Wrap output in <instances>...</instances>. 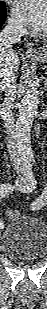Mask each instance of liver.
Masks as SVG:
<instances>
[{
  "label": "liver",
  "instance_id": "1",
  "mask_svg": "<svg viewBox=\"0 0 47 309\" xmlns=\"http://www.w3.org/2000/svg\"><path fill=\"white\" fill-rule=\"evenodd\" d=\"M19 65L20 61L16 53L13 57H8L7 55L2 54L0 50V71L6 66L7 68L12 69L14 72H17Z\"/></svg>",
  "mask_w": 47,
  "mask_h": 309
}]
</instances>
